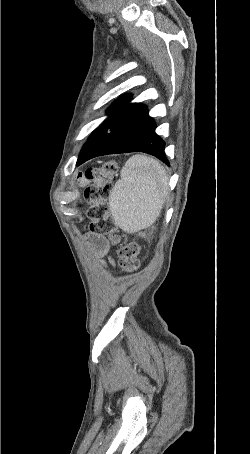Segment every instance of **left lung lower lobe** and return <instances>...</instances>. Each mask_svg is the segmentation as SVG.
Here are the masks:
<instances>
[{
    "mask_svg": "<svg viewBox=\"0 0 250 454\" xmlns=\"http://www.w3.org/2000/svg\"><path fill=\"white\" fill-rule=\"evenodd\" d=\"M155 128L144 105L126 102L100 125L80 154L77 166L97 156L135 151L154 155L169 165L165 143Z\"/></svg>",
    "mask_w": 250,
    "mask_h": 454,
    "instance_id": "1",
    "label": "left lung lower lobe"
}]
</instances>
